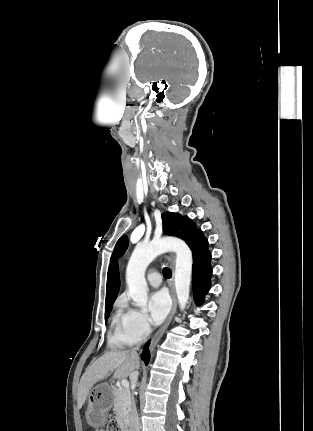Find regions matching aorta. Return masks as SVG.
I'll return each mask as SVG.
<instances>
[{"instance_id": "obj_1", "label": "aorta", "mask_w": 313, "mask_h": 431, "mask_svg": "<svg viewBox=\"0 0 313 431\" xmlns=\"http://www.w3.org/2000/svg\"><path fill=\"white\" fill-rule=\"evenodd\" d=\"M169 251L176 253L175 289L179 307L184 310L187 305L192 274V252L181 239L166 237L136 246L127 265L126 283L130 296L143 311L147 310L148 300L146 268L158 255Z\"/></svg>"}]
</instances>
